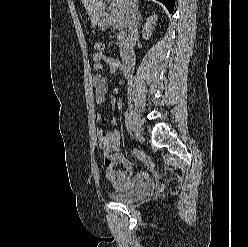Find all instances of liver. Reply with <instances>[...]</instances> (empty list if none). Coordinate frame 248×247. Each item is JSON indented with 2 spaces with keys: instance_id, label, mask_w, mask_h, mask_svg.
Here are the masks:
<instances>
[{
  "instance_id": "liver-1",
  "label": "liver",
  "mask_w": 248,
  "mask_h": 247,
  "mask_svg": "<svg viewBox=\"0 0 248 247\" xmlns=\"http://www.w3.org/2000/svg\"><path fill=\"white\" fill-rule=\"evenodd\" d=\"M109 3L112 2V5L116 8V10L121 14L124 15V7L125 2L124 0H81L87 13L90 17L91 24L93 27L97 25L100 18L103 16L105 10V2Z\"/></svg>"
}]
</instances>
